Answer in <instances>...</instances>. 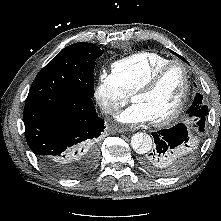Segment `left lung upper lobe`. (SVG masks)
I'll return each instance as SVG.
<instances>
[{
  "label": "left lung upper lobe",
  "instance_id": "left-lung-upper-lobe-1",
  "mask_svg": "<svg viewBox=\"0 0 221 221\" xmlns=\"http://www.w3.org/2000/svg\"><path fill=\"white\" fill-rule=\"evenodd\" d=\"M187 113L193 118V123L196 124L199 132H204L206 116L208 115V107L203 104V96L196 94L192 106L187 110ZM199 136V134H196Z\"/></svg>",
  "mask_w": 221,
  "mask_h": 221
}]
</instances>
